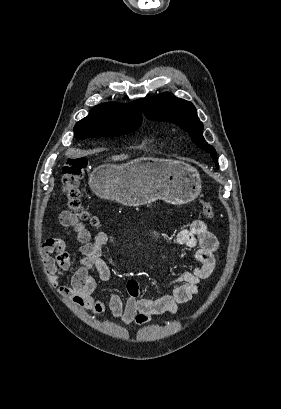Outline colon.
Segmentation results:
<instances>
[{"label":"colon","mask_w":281,"mask_h":409,"mask_svg":"<svg viewBox=\"0 0 281 409\" xmlns=\"http://www.w3.org/2000/svg\"><path fill=\"white\" fill-rule=\"evenodd\" d=\"M88 167V159L85 156L69 155L66 157L62 171V191L66 198L65 205L78 221H91L96 223L94 217L90 214L83 203L82 198V179ZM203 215L208 219H213L215 214L212 206L205 201L201 202Z\"/></svg>","instance_id":"colon-1"}]
</instances>
